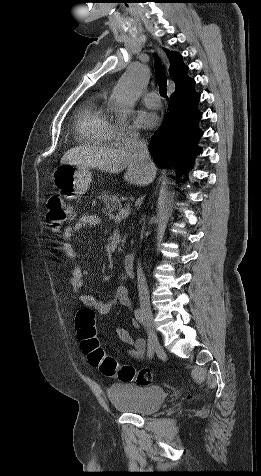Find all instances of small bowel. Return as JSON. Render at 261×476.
Returning a JSON list of instances; mask_svg holds the SVG:
<instances>
[{
	"instance_id": "c3829d8e",
	"label": "small bowel",
	"mask_w": 261,
	"mask_h": 476,
	"mask_svg": "<svg viewBox=\"0 0 261 476\" xmlns=\"http://www.w3.org/2000/svg\"><path fill=\"white\" fill-rule=\"evenodd\" d=\"M100 222L101 220L99 216L85 214L81 216L73 226L67 227L63 234L64 242L60 247L65 256L70 259H75L76 252L71 245L70 240H72L80 230L88 227H96ZM68 283L72 291L76 294L77 300L84 306L91 307L100 315L110 313L116 305H120L127 309L132 307V302L128 296L127 289L123 285H119L116 288L115 293L111 298L97 299L91 295L82 293L81 290L84 287V275L83 270L78 265L73 266L71 269ZM132 325L138 327V324L135 321L132 322ZM117 335L122 342L133 347V350L128 353L129 356L140 358L143 355L146 348V343L143 338L132 336L125 328H118Z\"/></svg>"
}]
</instances>
